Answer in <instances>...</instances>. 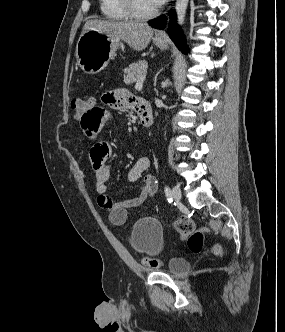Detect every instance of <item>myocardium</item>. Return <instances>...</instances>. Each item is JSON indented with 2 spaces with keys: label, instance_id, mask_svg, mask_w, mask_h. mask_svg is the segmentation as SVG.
<instances>
[{
  "label": "myocardium",
  "instance_id": "1",
  "mask_svg": "<svg viewBox=\"0 0 285 332\" xmlns=\"http://www.w3.org/2000/svg\"><path fill=\"white\" fill-rule=\"evenodd\" d=\"M122 5L129 16L133 19L144 21L151 18H154L158 14V9H154L153 11L143 13L137 7L136 0H121Z\"/></svg>",
  "mask_w": 285,
  "mask_h": 332
}]
</instances>
